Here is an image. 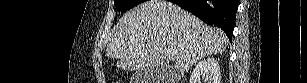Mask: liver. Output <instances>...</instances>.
Instances as JSON below:
<instances>
[{
  "label": "liver",
  "instance_id": "6515ba94",
  "mask_svg": "<svg viewBox=\"0 0 307 83\" xmlns=\"http://www.w3.org/2000/svg\"><path fill=\"white\" fill-rule=\"evenodd\" d=\"M227 45L228 38L219 28L207 26L171 2L149 0L125 13L113 27L106 56L118 59L117 66L124 70H164L166 57L174 49L171 71L184 74L197 60L221 53Z\"/></svg>",
  "mask_w": 307,
  "mask_h": 83
}]
</instances>
